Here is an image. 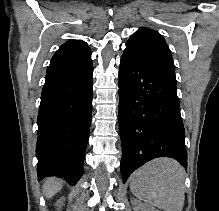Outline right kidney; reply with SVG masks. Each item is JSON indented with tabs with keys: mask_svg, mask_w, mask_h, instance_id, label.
Instances as JSON below:
<instances>
[{
	"mask_svg": "<svg viewBox=\"0 0 219 211\" xmlns=\"http://www.w3.org/2000/svg\"><path fill=\"white\" fill-rule=\"evenodd\" d=\"M56 205H58V207H61V205H63L62 197H61V199H58V201H56Z\"/></svg>",
	"mask_w": 219,
	"mask_h": 211,
	"instance_id": "right-kidney-1",
	"label": "right kidney"
}]
</instances>
